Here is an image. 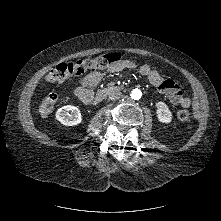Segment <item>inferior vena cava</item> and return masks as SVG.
Segmentation results:
<instances>
[{
    "label": "inferior vena cava",
    "mask_w": 221,
    "mask_h": 221,
    "mask_svg": "<svg viewBox=\"0 0 221 221\" xmlns=\"http://www.w3.org/2000/svg\"><path fill=\"white\" fill-rule=\"evenodd\" d=\"M121 97H122V93L117 89L111 91L110 94H109V99L110 100H118Z\"/></svg>",
    "instance_id": "1"
}]
</instances>
